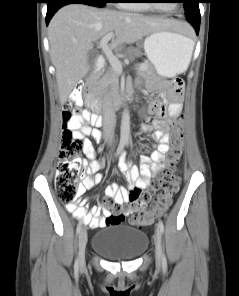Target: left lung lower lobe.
I'll return each mask as SVG.
<instances>
[{
	"label": "left lung lower lobe",
	"mask_w": 239,
	"mask_h": 296,
	"mask_svg": "<svg viewBox=\"0 0 239 296\" xmlns=\"http://www.w3.org/2000/svg\"><path fill=\"white\" fill-rule=\"evenodd\" d=\"M192 24V26L195 28L196 33H199V27H200V21L198 20H188Z\"/></svg>",
	"instance_id": "0a47b994"
}]
</instances>
